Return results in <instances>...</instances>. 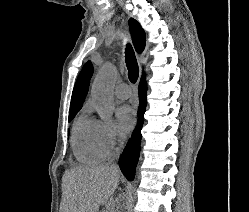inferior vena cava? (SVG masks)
I'll return each instance as SVG.
<instances>
[{
  "label": "inferior vena cava",
  "mask_w": 249,
  "mask_h": 212,
  "mask_svg": "<svg viewBox=\"0 0 249 212\" xmlns=\"http://www.w3.org/2000/svg\"><path fill=\"white\" fill-rule=\"evenodd\" d=\"M120 142H122V140H120ZM114 168H117L116 164H113Z\"/></svg>",
  "instance_id": "obj_1"
}]
</instances>
